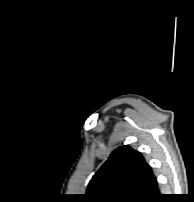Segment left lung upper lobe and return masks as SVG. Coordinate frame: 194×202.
<instances>
[{"label": "left lung upper lobe", "instance_id": "1", "mask_svg": "<svg viewBox=\"0 0 194 202\" xmlns=\"http://www.w3.org/2000/svg\"><path fill=\"white\" fill-rule=\"evenodd\" d=\"M157 180L140 152L122 146L92 177L86 192L89 202H151Z\"/></svg>", "mask_w": 194, "mask_h": 202}]
</instances>
